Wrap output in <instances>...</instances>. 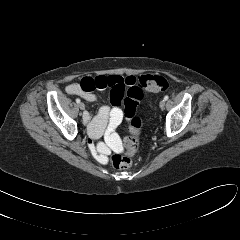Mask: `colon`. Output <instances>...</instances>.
Returning <instances> with one entry per match:
<instances>
[{"mask_svg":"<svg viewBox=\"0 0 240 240\" xmlns=\"http://www.w3.org/2000/svg\"><path fill=\"white\" fill-rule=\"evenodd\" d=\"M169 83L162 75H143L136 85L127 90L124 100L125 116L129 120L131 136L125 140L126 154H113L110 162L117 169H127L132 165V156L139 149V134L142 127L140 118L135 115L137 103L142 99L143 91L162 92L167 90Z\"/></svg>","mask_w":240,"mask_h":240,"instance_id":"5ec220e1","label":"colon"}]
</instances>
